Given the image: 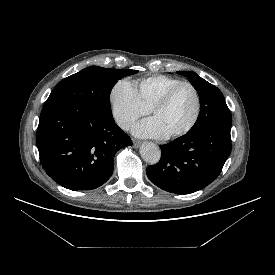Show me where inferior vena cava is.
I'll return each instance as SVG.
<instances>
[{
    "label": "inferior vena cava",
    "mask_w": 275,
    "mask_h": 275,
    "mask_svg": "<svg viewBox=\"0 0 275 275\" xmlns=\"http://www.w3.org/2000/svg\"><path fill=\"white\" fill-rule=\"evenodd\" d=\"M130 125L131 123L129 121H123L120 123V126L125 130H127L130 127Z\"/></svg>",
    "instance_id": "obj_1"
}]
</instances>
